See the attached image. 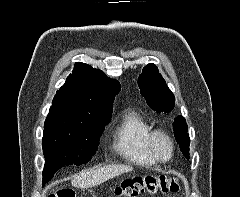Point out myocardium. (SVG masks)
<instances>
[{
	"label": "myocardium",
	"mask_w": 240,
	"mask_h": 197,
	"mask_svg": "<svg viewBox=\"0 0 240 197\" xmlns=\"http://www.w3.org/2000/svg\"><path fill=\"white\" fill-rule=\"evenodd\" d=\"M158 138L165 139L169 144V155L165 158L160 156L156 150L155 143ZM146 146L151 157L158 163H167L173 158L175 150L174 141L172 137L162 129H153L150 131L146 139Z\"/></svg>",
	"instance_id": "f54148a6"
}]
</instances>
